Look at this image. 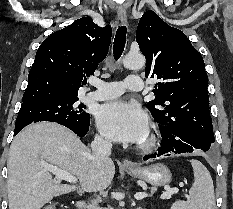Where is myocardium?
Returning <instances> with one entry per match:
<instances>
[{"instance_id": "1", "label": "myocardium", "mask_w": 233, "mask_h": 209, "mask_svg": "<svg viewBox=\"0 0 233 209\" xmlns=\"http://www.w3.org/2000/svg\"><path fill=\"white\" fill-rule=\"evenodd\" d=\"M158 144V137L155 132L148 131L146 137L138 144V149L142 151H151Z\"/></svg>"}]
</instances>
